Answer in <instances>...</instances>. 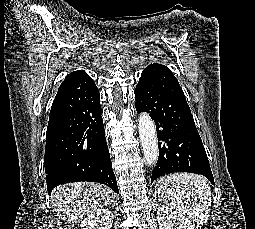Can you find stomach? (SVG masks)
Returning <instances> with one entry per match:
<instances>
[{
  "label": "stomach",
  "mask_w": 255,
  "mask_h": 229,
  "mask_svg": "<svg viewBox=\"0 0 255 229\" xmlns=\"http://www.w3.org/2000/svg\"><path fill=\"white\" fill-rule=\"evenodd\" d=\"M171 185H173V186H174V184H171ZM166 186H170V184H168V185H166Z\"/></svg>",
  "instance_id": "0dacf381"
}]
</instances>
